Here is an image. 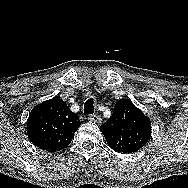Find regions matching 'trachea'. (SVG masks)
I'll return each instance as SVG.
<instances>
[{
	"instance_id": "3493384b",
	"label": "trachea",
	"mask_w": 188,
	"mask_h": 188,
	"mask_svg": "<svg viewBox=\"0 0 188 188\" xmlns=\"http://www.w3.org/2000/svg\"><path fill=\"white\" fill-rule=\"evenodd\" d=\"M84 113L93 114L94 113V100L93 98L88 99L84 104Z\"/></svg>"
}]
</instances>
